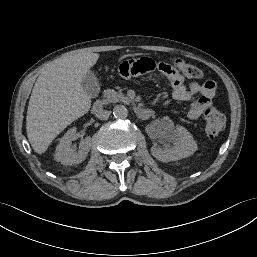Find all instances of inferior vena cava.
Masks as SVG:
<instances>
[{
	"label": "inferior vena cava",
	"mask_w": 257,
	"mask_h": 257,
	"mask_svg": "<svg viewBox=\"0 0 257 257\" xmlns=\"http://www.w3.org/2000/svg\"><path fill=\"white\" fill-rule=\"evenodd\" d=\"M111 112L107 110H100L96 113V117L101 120H106L109 118Z\"/></svg>",
	"instance_id": "602c4592"
}]
</instances>
